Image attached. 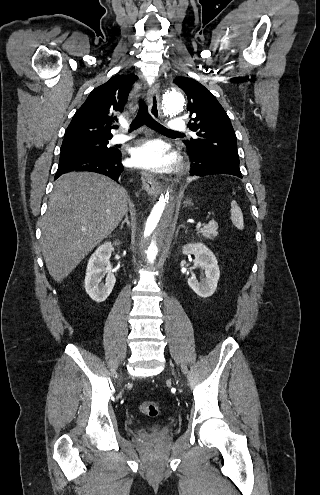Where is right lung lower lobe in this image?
Returning a JSON list of instances; mask_svg holds the SVG:
<instances>
[{
    "instance_id": "obj_1",
    "label": "right lung lower lobe",
    "mask_w": 320,
    "mask_h": 495,
    "mask_svg": "<svg viewBox=\"0 0 320 495\" xmlns=\"http://www.w3.org/2000/svg\"><path fill=\"white\" fill-rule=\"evenodd\" d=\"M123 170L121 153L115 150H111L105 154L85 152L62 153L54 179L71 171H90L104 174L117 181Z\"/></svg>"
}]
</instances>
